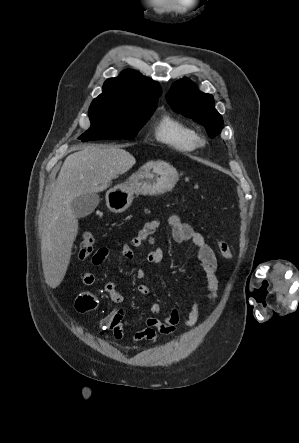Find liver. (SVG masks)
I'll return each mask as SVG.
<instances>
[{"label": "liver", "mask_w": 299, "mask_h": 443, "mask_svg": "<svg viewBox=\"0 0 299 443\" xmlns=\"http://www.w3.org/2000/svg\"><path fill=\"white\" fill-rule=\"evenodd\" d=\"M135 158L119 146L91 145L64 161L43 216L42 266L46 284L55 289L63 281L78 233L72 201L102 192L112 179L127 172Z\"/></svg>", "instance_id": "1"}]
</instances>
